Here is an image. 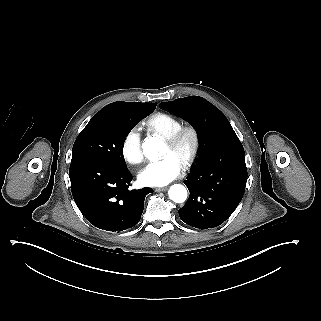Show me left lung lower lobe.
Returning <instances> with one entry per match:
<instances>
[{
    "mask_svg": "<svg viewBox=\"0 0 321 321\" xmlns=\"http://www.w3.org/2000/svg\"><path fill=\"white\" fill-rule=\"evenodd\" d=\"M247 182L242 144L223 147L197 164L185 181L190 196L180 219L199 229L219 226L237 208Z\"/></svg>",
    "mask_w": 321,
    "mask_h": 321,
    "instance_id": "left-lung-lower-lobe-1",
    "label": "left lung lower lobe"
}]
</instances>
